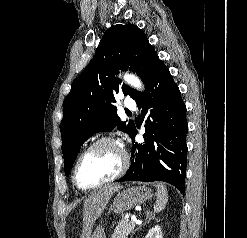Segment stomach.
<instances>
[{"label": "stomach", "mask_w": 247, "mask_h": 238, "mask_svg": "<svg viewBox=\"0 0 247 238\" xmlns=\"http://www.w3.org/2000/svg\"><path fill=\"white\" fill-rule=\"evenodd\" d=\"M151 196V189H149L147 186H133L117 193L112 204V209L115 213L121 214L136 205L144 203L146 200L151 198ZM90 238H105L103 227H97Z\"/></svg>", "instance_id": "stomach-1"}]
</instances>
